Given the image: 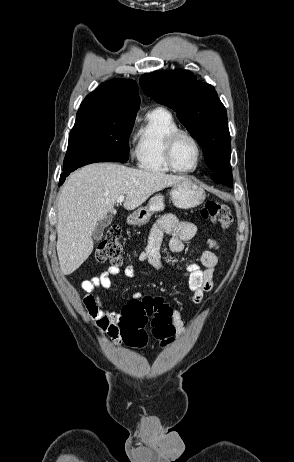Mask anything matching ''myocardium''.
<instances>
[{
	"label": "myocardium",
	"mask_w": 294,
	"mask_h": 462,
	"mask_svg": "<svg viewBox=\"0 0 294 462\" xmlns=\"http://www.w3.org/2000/svg\"><path fill=\"white\" fill-rule=\"evenodd\" d=\"M181 137H186L188 138L195 146L196 151H197V159L196 163L193 168L191 169H180L176 166L173 158V151H174V146L177 142V140ZM202 148L199 143V141L196 139L195 136H193L191 133L182 130V129H177L170 133L166 139L165 142V147H164V158L167 166L174 172L177 173H182V174H189L195 172L201 163L202 160Z\"/></svg>",
	"instance_id": "myocardium-1"
}]
</instances>
